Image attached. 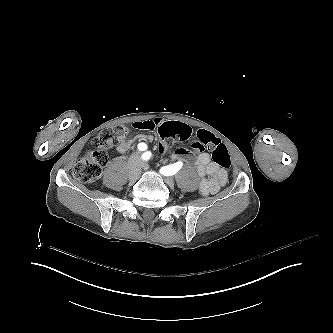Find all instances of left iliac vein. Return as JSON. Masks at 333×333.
I'll list each match as a JSON object with an SVG mask.
<instances>
[{
	"label": "left iliac vein",
	"instance_id": "1",
	"mask_svg": "<svg viewBox=\"0 0 333 333\" xmlns=\"http://www.w3.org/2000/svg\"><path fill=\"white\" fill-rule=\"evenodd\" d=\"M145 170L148 169V164H143L142 165ZM165 183L169 185L170 187L174 186L175 180L172 177H163Z\"/></svg>",
	"mask_w": 333,
	"mask_h": 333
}]
</instances>
